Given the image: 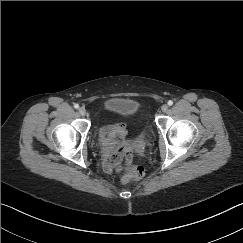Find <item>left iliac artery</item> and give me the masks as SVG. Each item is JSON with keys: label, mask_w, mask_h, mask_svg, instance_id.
Segmentation results:
<instances>
[{"label": "left iliac artery", "mask_w": 243, "mask_h": 243, "mask_svg": "<svg viewBox=\"0 0 243 243\" xmlns=\"http://www.w3.org/2000/svg\"><path fill=\"white\" fill-rule=\"evenodd\" d=\"M168 105H169V106L173 105V101H172V100H169V101H168Z\"/></svg>", "instance_id": "obj_1"}]
</instances>
